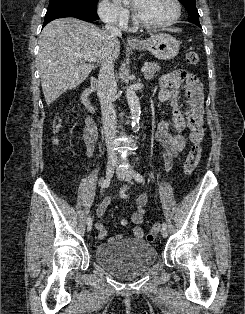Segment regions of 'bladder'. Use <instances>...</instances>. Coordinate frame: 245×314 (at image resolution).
Instances as JSON below:
<instances>
[{
  "mask_svg": "<svg viewBox=\"0 0 245 314\" xmlns=\"http://www.w3.org/2000/svg\"><path fill=\"white\" fill-rule=\"evenodd\" d=\"M95 260L120 277L141 274L157 261L156 248L144 239L101 243L95 247Z\"/></svg>",
  "mask_w": 245,
  "mask_h": 314,
  "instance_id": "bladder-1",
  "label": "bladder"
}]
</instances>
